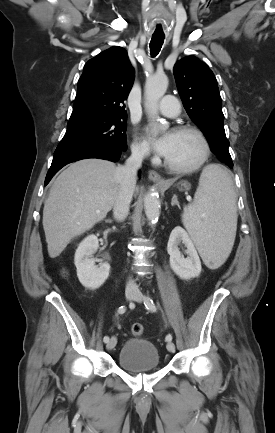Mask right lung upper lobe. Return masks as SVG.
<instances>
[{"mask_svg": "<svg viewBox=\"0 0 275 433\" xmlns=\"http://www.w3.org/2000/svg\"><path fill=\"white\" fill-rule=\"evenodd\" d=\"M134 69L122 47L101 52L84 66L70 118L126 117L122 105L131 90Z\"/></svg>", "mask_w": 275, "mask_h": 433, "instance_id": "cb5924a9", "label": "right lung upper lobe"}]
</instances>
